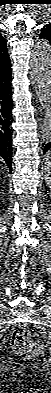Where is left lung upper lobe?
Wrapping results in <instances>:
<instances>
[{
    "label": "left lung upper lobe",
    "instance_id": "left-lung-upper-lobe-1",
    "mask_svg": "<svg viewBox=\"0 0 51 393\" xmlns=\"http://www.w3.org/2000/svg\"><path fill=\"white\" fill-rule=\"evenodd\" d=\"M39 38H40V39H43V40H48L49 43L51 44V23L45 25V26L41 29Z\"/></svg>",
    "mask_w": 51,
    "mask_h": 393
}]
</instances>
